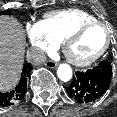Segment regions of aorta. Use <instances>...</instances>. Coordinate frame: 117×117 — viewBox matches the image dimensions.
I'll return each instance as SVG.
<instances>
[{
    "label": "aorta",
    "mask_w": 117,
    "mask_h": 117,
    "mask_svg": "<svg viewBox=\"0 0 117 117\" xmlns=\"http://www.w3.org/2000/svg\"><path fill=\"white\" fill-rule=\"evenodd\" d=\"M57 75L63 82H68L72 78V69L68 64H61L58 67Z\"/></svg>",
    "instance_id": "1"
}]
</instances>
